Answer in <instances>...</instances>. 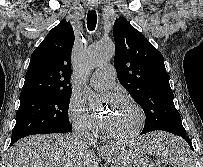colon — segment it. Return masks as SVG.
<instances>
[{
  "instance_id": "colon-1",
  "label": "colon",
  "mask_w": 203,
  "mask_h": 167,
  "mask_svg": "<svg viewBox=\"0 0 203 167\" xmlns=\"http://www.w3.org/2000/svg\"><path fill=\"white\" fill-rule=\"evenodd\" d=\"M156 167H174V166L167 161H160L157 163Z\"/></svg>"
}]
</instances>
